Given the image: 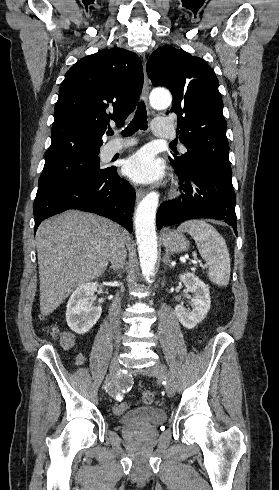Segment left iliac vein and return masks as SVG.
I'll list each match as a JSON object with an SVG mask.
<instances>
[{"mask_svg": "<svg viewBox=\"0 0 279 490\" xmlns=\"http://www.w3.org/2000/svg\"><path fill=\"white\" fill-rule=\"evenodd\" d=\"M155 365L150 370L152 374L167 382L166 392L168 397H172L175 393V381L171 371L157 360L153 361Z\"/></svg>", "mask_w": 279, "mask_h": 490, "instance_id": "4c4485c4", "label": "left iliac vein"}]
</instances>
